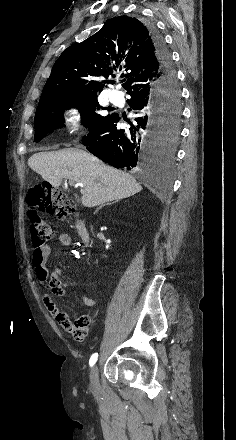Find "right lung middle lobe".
Masks as SVG:
<instances>
[{"mask_svg":"<svg viewBox=\"0 0 236 440\" xmlns=\"http://www.w3.org/2000/svg\"><path fill=\"white\" fill-rule=\"evenodd\" d=\"M162 98L169 101L165 111V120L162 131L159 133V144L162 147L160 160L170 159L175 151V143L179 134V119L181 114L180 90L177 85L163 86L159 89ZM75 107L80 110L82 123L94 129L105 121L110 114L100 113L101 106L97 101V94L74 93L57 95L39 101L35 114V137L39 142L51 130L64 126V109ZM105 109V108H103Z\"/></svg>","mask_w":236,"mask_h":440,"instance_id":"1","label":"right lung middle lobe"}]
</instances>
